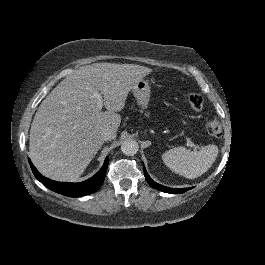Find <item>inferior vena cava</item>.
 Listing matches in <instances>:
<instances>
[{"instance_id": "1", "label": "inferior vena cava", "mask_w": 265, "mask_h": 265, "mask_svg": "<svg viewBox=\"0 0 265 265\" xmlns=\"http://www.w3.org/2000/svg\"><path fill=\"white\" fill-rule=\"evenodd\" d=\"M101 136H102L104 141H107V140L113 139L114 133L110 130H104V131H102Z\"/></svg>"}]
</instances>
